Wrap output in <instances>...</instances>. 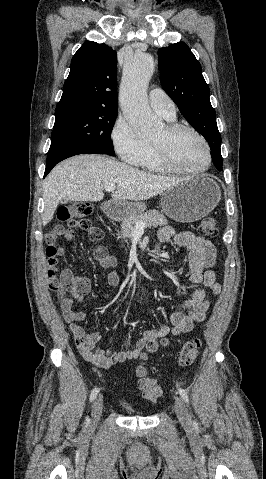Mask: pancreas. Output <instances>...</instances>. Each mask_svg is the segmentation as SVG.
<instances>
[{"label":"pancreas","mask_w":266,"mask_h":479,"mask_svg":"<svg viewBox=\"0 0 266 479\" xmlns=\"http://www.w3.org/2000/svg\"><path fill=\"white\" fill-rule=\"evenodd\" d=\"M137 221H142L146 227H157L168 224L165 216L157 210H149L146 213L130 215L123 219L121 223L120 234L124 239H132Z\"/></svg>","instance_id":"1"}]
</instances>
